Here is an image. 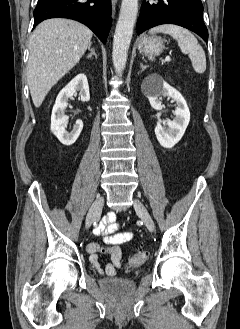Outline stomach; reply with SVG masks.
<instances>
[{
    "instance_id": "obj_1",
    "label": "stomach",
    "mask_w": 240,
    "mask_h": 329,
    "mask_svg": "<svg viewBox=\"0 0 240 329\" xmlns=\"http://www.w3.org/2000/svg\"><path fill=\"white\" fill-rule=\"evenodd\" d=\"M138 47L145 55H159L163 50V41L156 36H143Z\"/></svg>"
}]
</instances>
